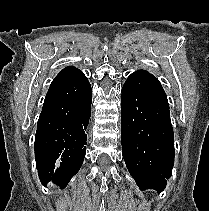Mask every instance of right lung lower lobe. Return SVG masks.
Instances as JSON below:
<instances>
[{"label":"right lung lower lobe","mask_w":209,"mask_h":211,"mask_svg":"<svg viewBox=\"0 0 209 211\" xmlns=\"http://www.w3.org/2000/svg\"><path fill=\"white\" fill-rule=\"evenodd\" d=\"M91 103V85L80 70L50 86L35 135L36 167L43 184L52 180L65 187L82 166Z\"/></svg>","instance_id":"right-lung-lower-lobe-1"}]
</instances>
